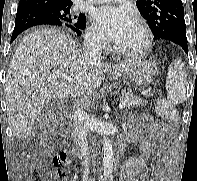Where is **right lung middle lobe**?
I'll use <instances>...</instances> for the list:
<instances>
[{
	"mask_svg": "<svg viewBox=\"0 0 197 181\" xmlns=\"http://www.w3.org/2000/svg\"><path fill=\"white\" fill-rule=\"evenodd\" d=\"M40 7L45 8L51 14L55 15L64 24L73 25L76 28L84 29L86 25V17L84 14L73 16L70 14L71 5H54V4H41Z\"/></svg>",
	"mask_w": 197,
	"mask_h": 181,
	"instance_id": "obj_1",
	"label": "right lung middle lobe"
}]
</instances>
